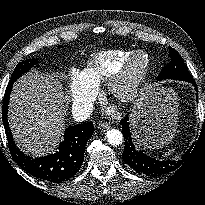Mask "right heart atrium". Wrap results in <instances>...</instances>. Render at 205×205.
<instances>
[{"label": "right heart atrium", "instance_id": "obj_1", "mask_svg": "<svg viewBox=\"0 0 205 205\" xmlns=\"http://www.w3.org/2000/svg\"><path fill=\"white\" fill-rule=\"evenodd\" d=\"M68 89L74 108L89 103L96 93V87L86 84L77 70L71 72Z\"/></svg>", "mask_w": 205, "mask_h": 205}]
</instances>
